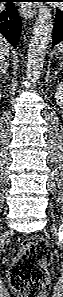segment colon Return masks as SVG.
<instances>
[{
    "label": "colon",
    "instance_id": "colon-1",
    "mask_svg": "<svg viewBox=\"0 0 63 297\" xmlns=\"http://www.w3.org/2000/svg\"><path fill=\"white\" fill-rule=\"evenodd\" d=\"M49 245L42 239L24 240L11 268L10 285L22 297H43L49 287Z\"/></svg>",
    "mask_w": 63,
    "mask_h": 297
}]
</instances>
